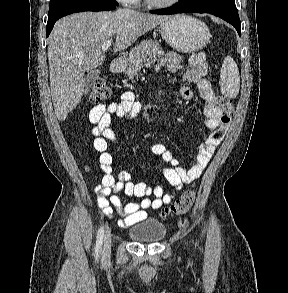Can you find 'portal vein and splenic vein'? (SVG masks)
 Returning <instances> with one entry per match:
<instances>
[{
	"label": "portal vein and splenic vein",
	"mask_w": 288,
	"mask_h": 293,
	"mask_svg": "<svg viewBox=\"0 0 288 293\" xmlns=\"http://www.w3.org/2000/svg\"><path fill=\"white\" fill-rule=\"evenodd\" d=\"M111 46V40H107L102 45V51L105 52L108 50V48ZM146 67H150V63L145 64Z\"/></svg>",
	"instance_id": "obj_1"
}]
</instances>
